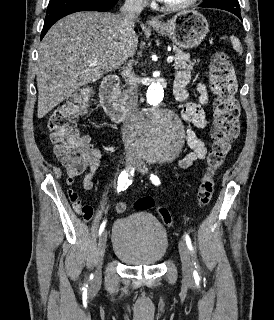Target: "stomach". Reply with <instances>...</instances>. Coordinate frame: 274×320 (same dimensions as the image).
<instances>
[{"mask_svg":"<svg viewBox=\"0 0 274 320\" xmlns=\"http://www.w3.org/2000/svg\"><path fill=\"white\" fill-rule=\"evenodd\" d=\"M151 28L159 34L169 36L170 40L183 50H191L199 46L209 32V24L205 16L195 10L179 12L163 26H151Z\"/></svg>","mask_w":274,"mask_h":320,"instance_id":"stomach-1","label":"stomach"}]
</instances>
